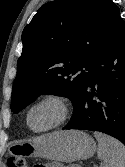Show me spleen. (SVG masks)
I'll return each instance as SVG.
<instances>
[{
	"label": "spleen",
	"mask_w": 125,
	"mask_h": 167,
	"mask_svg": "<svg viewBox=\"0 0 125 167\" xmlns=\"http://www.w3.org/2000/svg\"><path fill=\"white\" fill-rule=\"evenodd\" d=\"M94 136L98 141L100 167H125V146L117 139L100 132H95Z\"/></svg>",
	"instance_id": "obj_1"
}]
</instances>
